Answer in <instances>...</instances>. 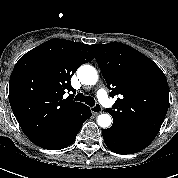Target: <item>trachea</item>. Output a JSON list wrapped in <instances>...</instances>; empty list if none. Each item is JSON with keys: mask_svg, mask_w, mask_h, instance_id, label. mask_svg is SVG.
<instances>
[{"mask_svg": "<svg viewBox=\"0 0 178 178\" xmlns=\"http://www.w3.org/2000/svg\"><path fill=\"white\" fill-rule=\"evenodd\" d=\"M75 101L85 102L89 106H94L95 100L91 96H84L82 93H79L75 96Z\"/></svg>", "mask_w": 178, "mask_h": 178, "instance_id": "obj_1", "label": "trachea"}]
</instances>
